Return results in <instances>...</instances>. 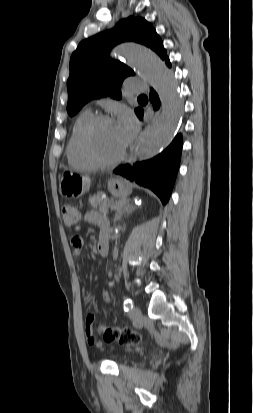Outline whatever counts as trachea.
<instances>
[{
  "label": "trachea",
  "instance_id": "3493384b",
  "mask_svg": "<svg viewBox=\"0 0 253 413\" xmlns=\"http://www.w3.org/2000/svg\"><path fill=\"white\" fill-rule=\"evenodd\" d=\"M139 98H146V96L145 95H140Z\"/></svg>",
  "mask_w": 253,
  "mask_h": 413
}]
</instances>
